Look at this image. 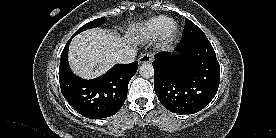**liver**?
I'll return each mask as SVG.
<instances>
[{
	"label": "liver",
	"instance_id": "obj_1",
	"mask_svg": "<svg viewBox=\"0 0 276 138\" xmlns=\"http://www.w3.org/2000/svg\"><path fill=\"white\" fill-rule=\"evenodd\" d=\"M131 40L121 38L107 30L94 28L74 37L69 48V64L72 71L84 78H96L115 63V54Z\"/></svg>",
	"mask_w": 276,
	"mask_h": 138
}]
</instances>
